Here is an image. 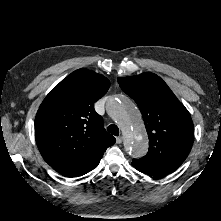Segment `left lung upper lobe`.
I'll list each match as a JSON object with an SVG mask.
<instances>
[{"mask_svg":"<svg viewBox=\"0 0 221 221\" xmlns=\"http://www.w3.org/2000/svg\"><path fill=\"white\" fill-rule=\"evenodd\" d=\"M121 89L138 105L149 137V151L132 164L140 171L169 174L187 158L194 141L191 116L167 84L145 72L118 78Z\"/></svg>","mask_w":221,"mask_h":221,"instance_id":"1","label":"left lung upper lobe"}]
</instances>
